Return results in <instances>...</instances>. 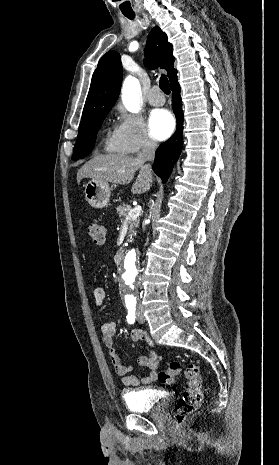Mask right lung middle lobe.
I'll list each match as a JSON object with an SVG mask.
<instances>
[{
    "label": "right lung middle lobe",
    "instance_id": "right-lung-middle-lobe-1",
    "mask_svg": "<svg viewBox=\"0 0 279 465\" xmlns=\"http://www.w3.org/2000/svg\"><path fill=\"white\" fill-rule=\"evenodd\" d=\"M109 111L110 109L102 111L89 123L79 127L78 137L74 146L72 156L73 160L86 157L93 149L96 133Z\"/></svg>",
    "mask_w": 279,
    "mask_h": 465
}]
</instances>
